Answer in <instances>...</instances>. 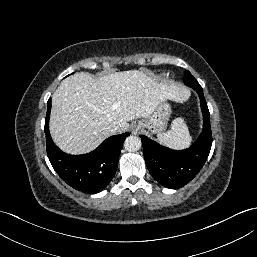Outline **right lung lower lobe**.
I'll use <instances>...</instances> for the list:
<instances>
[{
    "label": "right lung lower lobe",
    "instance_id": "98d812e1",
    "mask_svg": "<svg viewBox=\"0 0 257 257\" xmlns=\"http://www.w3.org/2000/svg\"><path fill=\"white\" fill-rule=\"evenodd\" d=\"M50 110L51 99L47 103L45 134L47 155L54 170L61 179L78 191L88 194L102 191L116 173L120 151L129 133L107 138L90 153L69 155L61 151L51 139L49 132Z\"/></svg>",
    "mask_w": 257,
    "mask_h": 257
}]
</instances>
